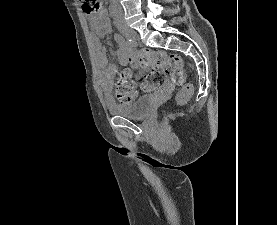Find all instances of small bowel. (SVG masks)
Masks as SVG:
<instances>
[{
    "label": "small bowel",
    "instance_id": "small-bowel-1",
    "mask_svg": "<svg viewBox=\"0 0 277 225\" xmlns=\"http://www.w3.org/2000/svg\"><path fill=\"white\" fill-rule=\"evenodd\" d=\"M89 21L94 31V36L92 40L93 52L98 67L102 69L101 85L103 88H105L116 72V65L113 62L109 61L105 49L98 39V36L105 35L111 31L110 20L107 11L103 8H100L97 14L90 15ZM114 38L118 44V60L121 63L129 62L133 68H137L138 66L131 62L130 50L124 40L119 38V36L116 34L114 35ZM141 74L142 73L139 72L136 77L139 78Z\"/></svg>",
    "mask_w": 277,
    "mask_h": 225
}]
</instances>
